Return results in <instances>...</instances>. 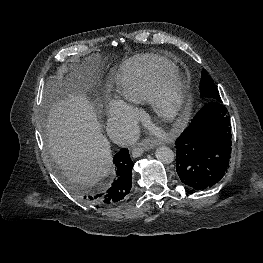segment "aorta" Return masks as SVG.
I'll use <instances>...</instances> for the list:
<instances>
[{
    "label": "aorta",
    "mask_w": 263,
    "mask_h": 263,
    "mask_svg": "<svg viewBox=\"0 0 263 263\" xmlns=\"http://www.w3.org/2000/svg\"><path fill=\"white\" fill-rule=\"evenodd\" d=\"M155 156L158 161L163 164H170L175 159L174 152L166 146H161L156 149Z\"/></svg>",
    "instance_id": "aorta-1"
}]
</instances>
